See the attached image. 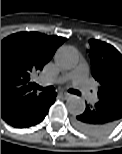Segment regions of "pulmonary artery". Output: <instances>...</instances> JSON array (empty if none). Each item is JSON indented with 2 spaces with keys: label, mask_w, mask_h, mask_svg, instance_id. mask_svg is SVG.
<instances>
[{
  "label": "pulmonary artery",
  "mask_w": 122,
  "mask_h": 154,
  "mask_svg": "<svg viewBox=\"0 0 122 154\" xmlns=\"http://www.w3.org/2000/svg\"><path fill=\"white\" fill-rule=\"evenodd\" d=\"M87 67L85 65L77 66L73 71L67 75H62L52 83L62 84L70 79L74 80L78 89L85 95V97L91 99L93 102H96L98 99L95 94L89 92V82L87 80Z\"/></svg>",
  "instance_id": "1"
}]
</instances>
